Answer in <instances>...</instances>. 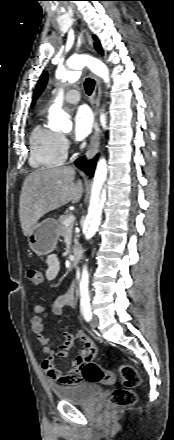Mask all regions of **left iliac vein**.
Returning <instances> with one entry per match:
<instances>
[{"label": "left iliac vein", "mask_w": 174, "mask_h": 440, "mask_svg": "<svg viewBox=\"0 0 174 440\" xmlns=\"http://www.w3.org/2000/svg\"><path fill=\"white\" fill-rule=\"evenodd\" d=\"M99 324V318L96 315H93L92 320H91V326L96 328Z\"/></svg>", "instance_id": "4c4485c4"}]
</instances>
